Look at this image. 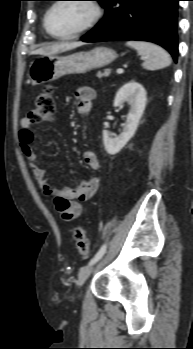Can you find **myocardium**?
I'll list each match as a JSON object with an SVG mask.
<instances>
[{
  "mask_svg": "<svg viewBox=\"0 0 193 349\" xmlns=\"http://www.w3.org/2000/svg\"><path fill=\"white\" fill-rule=\"evenodd\" d=\"M64 1L67 0H57L55 1L53 4H51V6L46 10L45 15H44V20H43V24H44V28L46 30V32L55 39L58 40H70V39H74L77 38L81 35H83L84 33L88 32L89 30H91L94 26L97 25V23L101 20V18L103 17L104 14V10L102 5L96 1V0H82L81 2H87L89 3V5L91 6V8L93 9V17L92 19L82 28L78 29L77 31L68 34V35H57L55 33L52 32V30L50 29L49 26V16L50 13L52 12V10L59 4L64 3Z\"/></svg>",
  "mask_w": 193,
  "mask_h": 349,
  "instance_id": "myocardium-1",
  "label": "myocardium"
}]
</instances>
